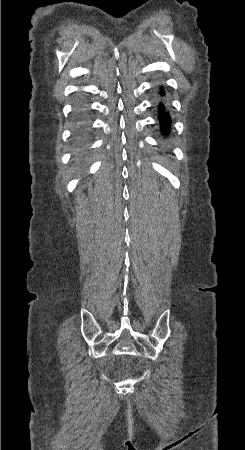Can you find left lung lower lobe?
I'll return each instance as SVG.
<instances>
[{
  "instance_id": "left-lung-lower-lobe-1",
  "label": "left lung lower lobe",
  "mask_w": 245,
  "mask_h": 450,
  "mask_svg": "<svg viewBox=\"0 0 245 450\" xmlns=\"http://www.w3.org/2000/svg\"><path fill=\"white\" fill-rule=\"evenodd\" d=\"M161 95H163V93H161ZM159 117H160V121H161V127H162V131L164 133H167L169 130V123H170V118L168 116V114L165 112V106L160 103L159 105Z\"/></svg>"
}]
</instances>
